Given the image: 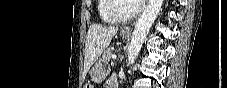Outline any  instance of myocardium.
<instances>
[{
	"label": "myocardium",
	"mask_w": 227,
	"mask_h": 88,
	"mask_svg": "<svg viewBox=\"0 0 227 88\" xmlns=\"http://www.w3.org/2000/svg\"><path fill=\"white\" fill-rule=\"evenodd\" d=\"M118 1H126V0H108V3H107V12L116 22H126L128 20L134 19L142 11V7L140 5H136L134 11L131 12L130 14L120 15L116 11V3Z\"/></svg>",
	"instance_id": "f54148a6"
}]
</instances>
